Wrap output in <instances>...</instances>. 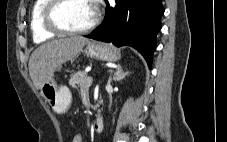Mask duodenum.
I'll use <instances>...</instances> for the list:
<instances>
[{"mask_svg":"<svg viewBox=\"0 0 227 142\" xmlns=\"http://www.w3.org/2000/svg\"><path fill=\"white\" fill-rule=\"evenodd\" d=\"M104 121L101 116H97L93 121V130L96 133H100L103 130Z\"/></svg>","mask_w":227,"mask_h":142,"instance_id":"duodenum-1","label":"duodenum"}]
</instances>
